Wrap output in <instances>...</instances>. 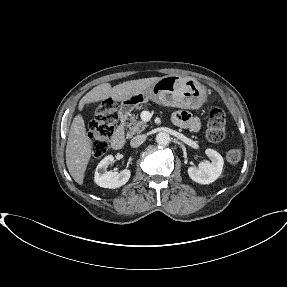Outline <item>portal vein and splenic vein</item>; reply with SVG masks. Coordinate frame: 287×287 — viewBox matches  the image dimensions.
Segmentation results:
<instances>
[{
  "mask_svg": "<svg viewBox=\"0 0 287 287\" xmlns=\"http://www.w3.org/2000/svg\"><path fill=\"white\" fill-rule=\"evenodd\" d=\"M143 115H148V116H150V113H149L148 111H144V112H143Z\"/></svg>",
  "mask_w": 287,
  "mask_h": 287,
  "instance_id": "1",
  "label": "portal vein and splenic vein"
}]
</instances>
